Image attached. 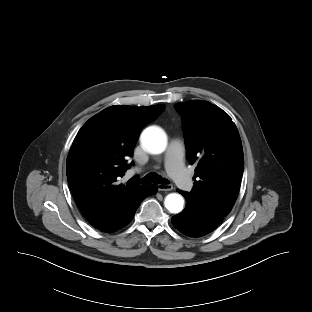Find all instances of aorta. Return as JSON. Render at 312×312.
<instances>
[{"label":"aorta","mask_w":312,"mask_h":312,"mask_svg":"<svg viewBox=\"0 0 312 312\" xmlns=\"http://www.w3.org/2000/svg\"><path fill=\"white\" fill-rule=\"evenodd\" d=\"M142 145L152 154H160L166 148V135L156 127L147 128L141 136ZM184 200L181 195L171 193L165 199V207L171 213H179L183 209Z\"/></svg>","instance_id":"762f6f07"}]
</instances>
